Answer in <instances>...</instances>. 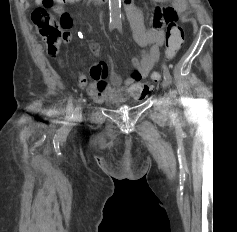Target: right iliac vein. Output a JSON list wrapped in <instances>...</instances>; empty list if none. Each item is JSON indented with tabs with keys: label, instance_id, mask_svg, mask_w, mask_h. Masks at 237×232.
I'll use <instances>...</instances> for the list:
<instances>
[{
	"label": "right iliac vein",
	"instance_id": "63e3f726",
	"mask_svg": "<svg viewBox=\"0 0 237 232\" xmlns=\"http://www.w3.org/2000/svg\"><path fill=\"white\" fill-rule=\"evenodd\" d=\"M81 118V107L77 106L75 111H74V119L78 120Z\"/></svg>",
	"mask_w": 237,
	"mask_h": 232
}]
</instances>
